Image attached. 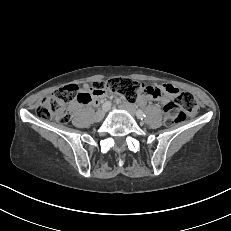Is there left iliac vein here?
Segmentation results:
<instances>
[{"label": "left iliac vein", "instance_id": "1", "mask_svg": "<svg viewBox=\"0 0 231 231\" xmlns=\"http://www.w3.org/2000/svg\"><path fill=\"white\" fill-rule=\"evenodd\" d=\"M119 108H121L125 111H128L132 115H137L136 108L132 104L126 103V104L120 105Z\"/></svg>", "mask_w": 231, "mask_h": 231}]
</instances>
